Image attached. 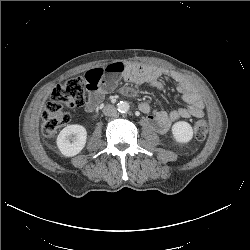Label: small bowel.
<instances>
[{
  "label": "small bowel",
  "mask_w": 250,
  "mask_h": 250,
  "mask_svg": "<svg viewBox=\"0 0 250 250\" xmlns=\"http://www.w3.org/2000/svg\"><path fill=\"white\" fill-rule=\"evenodd\" d=\"M164 76L172 78L177 83V91L186 106L167 112L164 110L153 111L147 103H143L140 110L147 115L148 123L157 132L166 133L170 130L172 124L179 119L202 117L204 115L203 100L188 80L176 72L138 63L117 62L87 71L85 79L89 94L85 109L87 112H92L102 102L107 93L118 87L120 79L162 90L164 84L160 79Z\"/></svg>",
  "instance_id": "small-bowel-1"
}]
</instances>
